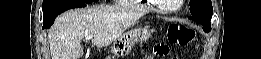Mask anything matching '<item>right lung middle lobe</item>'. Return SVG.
Wrapping results in <instances>:
<instances>
[{
	"mask_svg": "<svg viewBox=\"0 0 261 59\" xmlns=\"http://www.w3.org/2000/svg\"><path fill=\"white\" fill-rule=\"evenodd\" d=\"M97 0H43V15L51 14L59 8L71 3H91Z\"/></svg>",
	"mask_w": 261,
	"mask_h": 59,
	"instance_id": "dd1d6c3e",
	"label": "right lung middle lobe"
}]
</instances>
